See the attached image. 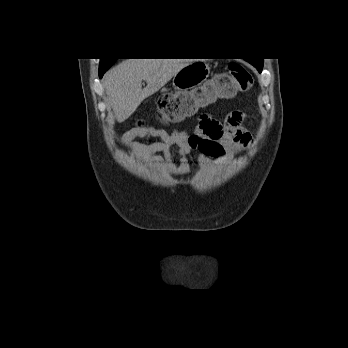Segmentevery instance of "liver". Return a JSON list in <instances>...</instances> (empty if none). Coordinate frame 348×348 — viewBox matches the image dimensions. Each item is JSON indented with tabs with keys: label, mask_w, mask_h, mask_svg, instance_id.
I'll return each mask as SVG.
<instances>
[{
	"label": "liver",
	"mask_w": 348,
	"mask_h": 348,
	"mask_svg": "<svg viewBox=\"0 0 348 348\" xmlns=\"http://www.w3.org/2000/svg\"><path fill=\"white\" fill-rule=\"evenodd\" d=\"M190 63L184 59H126L110 69L103 85L117 121L128 119L145 98ZM142 80L147 83L143 89Z\"/></svg>",
	"instance_id": "6515ba94"
}]
</instances>
